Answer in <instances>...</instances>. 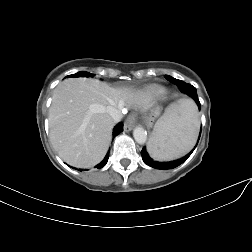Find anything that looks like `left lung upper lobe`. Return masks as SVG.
<instances>
[{"instance_id":"5c2ea615","label":"left lung upper lobe","mask_w":252,"mask_h":252,"mask_svg":"<svg viewBox=\"0 0 252 252\" xmlns=\"http://www.w3.org/2000/svg\"><path fill=\"white\" fill-rule=\"evenodd\" d=\"M165 77H166L167 80H169V81H171L173 83H175L178 80V79H175V78H173L171 76H168V75H166Z\"/></svg>"}]
</instances>
